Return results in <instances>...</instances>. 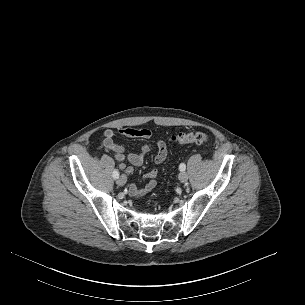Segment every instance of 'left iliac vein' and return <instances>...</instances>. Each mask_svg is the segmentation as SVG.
<instances>
[{
    "label": "left iliac vein",
    "mask_w": 305,
    "mask_h": 305,
    "mask_svg": "<svg viewBox=\"0 0 305 305\" xmlns=\"http://www.w3.org/2000/svg\"><path fill=\"white\" fill-rule=\"evenodd\" d=\"M178 177L182 183H185L188 180V174L185 171H181Z\"/></svg>",
    "instance_id": "left-iliac-vein-1"
}]
</instances>
